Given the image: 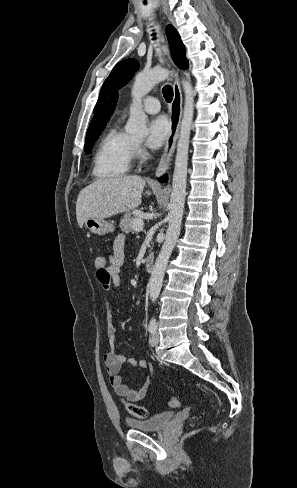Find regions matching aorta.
<instances>
[{
  "label": "aorta",
  "mask_w": 297,
  "mask_h": 488,
  "mask_svg": "<svg viewBox=\"0 0 297 488\" xmlns=\"http://www.w3.org/2000/svg\"><path fill=\"white\" fill-rule=\"evenodd\" d=\"M169 75L170 71L162 67H155L151 71L141 72L136 75L132 87L133 99L130 106V117L125 127L127 133L134 136H144L147 134V116L142 108V97L157 83L168 78ZM182 87L185 94V102L172 180V193L169 204L170 212L168 215L169 225L165 241L156 259L148 284L152 302L159 296L165 269L180 234L186 197L189 139L194 115V91L189 81L182 80Z\"/></svg>",
  "instance_id": "aorta-1"
}]
</instances>
